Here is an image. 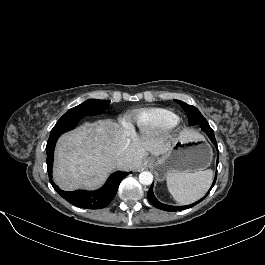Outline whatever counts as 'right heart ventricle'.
Segmentation results:
<instances>
[{
    "mask_svg": "<svg viewBox=\"0 0 265 265\" xmlns=\"http://www.w3.org/2000/svg\"><path fill=\"white\" fill-rule=\"evenodd\" d=\"M178 116L166 108H147L131 113L132 130L142 136H154L168 130Z\"/></svg>",
    "mask_w": 265,
    "mask_h": 265,
    "instance_id": "1",
    "label": "right heart ventricle"
}]
</instances>
